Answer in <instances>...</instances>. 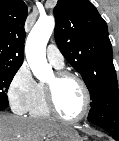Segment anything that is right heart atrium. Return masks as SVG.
Masks as SVG:
<instances>
[{
    "label": "right heart atrium",
    "mask_w": 119,
    "mask_h": 141,
    "mask_svg": "<svg viewBox=\"0 0 119 141\" xmlns=\"http://www.w3.org/2000/svg\"><path fill=\"white\" fill-rule=\"evenodd\" d=\"M38 91V83L26 63H23L13 75L9 87L8 98L11 107L18 113L29 111Z\"/></svg>",
    "instance_id": "1"
}]
</instances>
